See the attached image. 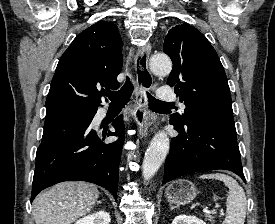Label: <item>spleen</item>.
<instances>
[{
    "mask_svg": "<svg viewBox=\"0 0 275 224\" xmlns=\"http://www.w3.org/2000/svg\"><path fill=\"white\" fill-rule=\"evenodd\" d=\"M201 179H216L223 181L229 188L226 199L227 216L223 224H244L246 217V196L243 188L231 176L222 173L203 174Z\"/></svg>",
    "mask_w": 275,
    "mask_h": 224,
    "instance_id": "spleen-1",
    "label": "spleen"
}]
</instances>
